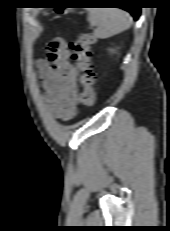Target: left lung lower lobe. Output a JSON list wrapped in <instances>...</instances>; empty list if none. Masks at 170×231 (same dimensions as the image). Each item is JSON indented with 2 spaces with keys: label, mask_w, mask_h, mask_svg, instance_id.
Here are the masks:
<instances>
[{
  "label": "left lung lower lobe",
  "mask_w": 170,
  "mask_h": 231,
  "mask_svg": "<svg viewBox=\"0 0 170 231\" xmlns=\"http://www.w3.org/2000/svg\"><path fill=\"white\" fill-rule=\"evenodd\" d=\"M119 8L125 9L128 12H130L134 19L137 20L140 15V7L136 6V2L130 1V2H124L119 4Z\"/></svg>",
  "instance_id": "0a47b994"
}]
</instances>
